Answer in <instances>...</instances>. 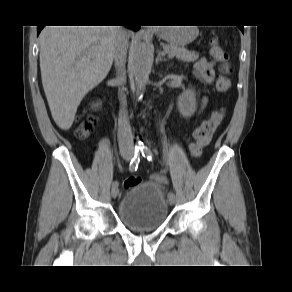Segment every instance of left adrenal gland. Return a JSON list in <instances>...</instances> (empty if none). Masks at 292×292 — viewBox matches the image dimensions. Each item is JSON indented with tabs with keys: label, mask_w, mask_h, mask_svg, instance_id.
<instances>
[{
	"label": "left adrenal gland",
	"mask_w": 292,
	"mask_h": 292,
	"mask_svg": "<svg viewBox=\"0 0 292 292\" xmlns=\"http://www.w3.org/2000/svg\"><path fill=\"white\" fill-rule=\"evenodd\" d=\"M159 61H166L165 56H163V55L161 54V52H158V56H157V58H156V64H158Z\"/></svg>",
	"instance_id": "left-adrenal-gland-1"
}]
</instances>
